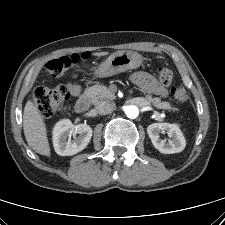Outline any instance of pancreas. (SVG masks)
I'll return each mask as SVG.
<instances>
[{
    "label": "pancreas",
    "instance_id": "1",
    "mask_svg": "<svg viewBox=\"0 0 225 225\" xmlns=\"http://www.w3.org/2000/svg\"><path fill=\"white\" fill-rule=\"evenodd\" d=\"M85 94L89 96L90 98H92L93 100L104 99V98H107V99L115 98L113 91L103 85H94V86L88 87L85 90ZM146 100L149 103H152L158 109L175 110V108L172 107L169 102L161 101L160 98H157V97L154 98L151 95H147Z\"/></svg>",
    "mask_w": 225,
    "mask_h": 225
}]
</instances>
